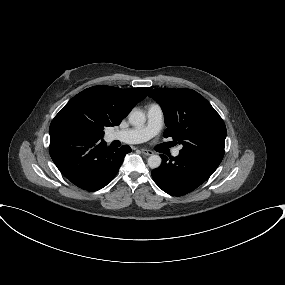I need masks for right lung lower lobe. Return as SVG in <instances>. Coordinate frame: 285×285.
I'll return each instance as SVG.
<instances>
[{"label": "right lung lower lobe", "instance_id": "98d812e1", "mask_svg": "<svg viewBox=\"0 0 285 285\" xmlns=\"http://www.w3.org/2000/svg\"><path fill=\"white\" fill-rule=\"evenodd\" d=\"M49 152L69 181L84 190L97 191L115 177L131 148H107L103 140L94 142L56 134L50 136Z\"/></svg>", "mask_w": 285, "mask_h": 285}]
</instances>
